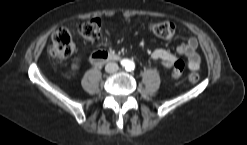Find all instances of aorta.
Masks as SVG:
<instances>
[{"mask_svg":"<svg viewBox=\"0 0 247 145\" xmlns=\"http://www.w3.org/2000/svg\"><path fill=\"white\" fill-rule=\"evenodd\" d=\"M124 66H125V69H127V70H132V69H134L135 64H134L133 61L127 60V61L125 62V64H124Z\"/></svg>","mask_w":247,"mask_h":145,"instance_id":"1","label":"aorta"}]
</instances>
